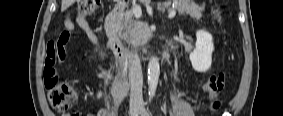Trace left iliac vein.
Returning <instances> with one entry per match:
<instances>
[{"label":"left iliac vein","mask_w":283,"mask_h":116,"mask_svg":"<svg viewBox=\"0 0 283 116\" xmlns=\"http://www.w3.org/2000/svg\"><path fill=\"white\" fill-rule=\"evenodd\" d=\"M140 114H141V116H150V114L148 113V111L145 108L140 109Z\"/></svg>","instance_id":"4c4485c4"}]
</instances>
